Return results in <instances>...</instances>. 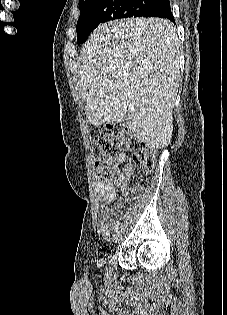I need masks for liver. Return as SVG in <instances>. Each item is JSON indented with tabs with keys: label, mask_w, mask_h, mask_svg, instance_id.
<instances>
[{
	"label": "liver",
	"mask_w": 227,
	"mask_h": 315,
	"mask_svg": "<svg viewBox=\"0 0 227 315\" xmlns=\"http://www.w3.org/2000/svg\"><path fill=\"white\" fill-rule=\"evenodd\" d=\"M79 88L90 123L127 118L140 142L164 148L172 138L180 79V43L166 19L131 18L104 23L84 44Z\"/></svg>",
	"instance_id": "6515ba94"
}]
</instances>
